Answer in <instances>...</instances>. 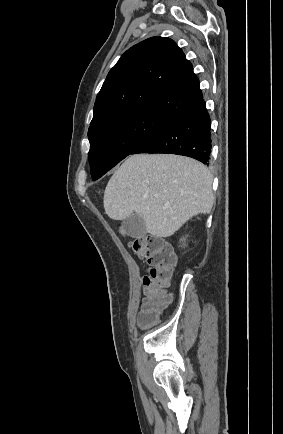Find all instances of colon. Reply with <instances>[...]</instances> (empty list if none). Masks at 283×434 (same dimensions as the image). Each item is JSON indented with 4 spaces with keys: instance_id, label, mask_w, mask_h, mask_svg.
<instances>
[{
    "instance_id": "colon-1",
    "label": "colon",
    "mask_w": 283,
    "mask_h": 434,
    "mask_svg": "<svg viewBox=\"0 0 283 434\" xmlns=\"http://www.w3.org/2000/svg\"><path fill=\"white\" fill-rule=\"evenodd\" d=\"M137 256L150 265L143 278L144 300L138 322L142 327L155 323L170 301L168 288L171 284L175 257L170 247L153 236L137 237L130 243Z\"/></svg>"
}]
</instances>
